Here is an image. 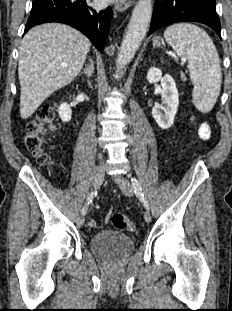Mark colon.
Segmentation results:
<instances>
[{
    "label": "colon",
    "instance_id": "5ec220e1",
    "mask_svg": "<svg viewBox=\"0 0 232 311\" xmlns=\"http://www.w3.org/2000/svg\"><path fill=\"white\" fill-rule=\"evenodd\" d=\"M55 127V113L51 106L41 108L37 116L27 125L25 145L27 150L33 154L39 163L47 164L49 157L45 152L47 133ZM112 225L120 230L135 231L134 223L126 216L115 213L111 216Z\"/></svg>",
    "mask_w": 232,
    "mask_h": 311
}]
</instances>
